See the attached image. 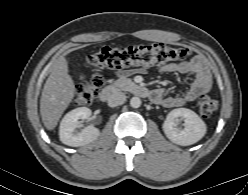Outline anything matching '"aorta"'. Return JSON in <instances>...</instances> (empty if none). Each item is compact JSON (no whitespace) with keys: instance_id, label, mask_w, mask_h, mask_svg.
Here are the masks:
<instances>
[{"instance_id":"1","label":"aorta","mask_w":248,"mask_h":195,"mask_svg":"<svg viewBox=\"0 0 248 195\" xmlns=\"http://www.w3.org/2000/svg\"><path fill=\"white\" fill-rule=\"evenodd\" d=\"M130 105L132 108H139L141 106V99L139 97H132L130 99Z\"/></svg>"}]
</instances>
